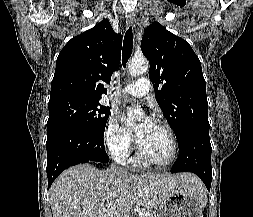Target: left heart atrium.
<instances>
[{"instance_id":"39dd6f15","label":"left heart atrium","mask_w":253,"mask_h":217,"mask_svg":"<svg viewBox=\"0 0 253 217\" xmlns=\"http://www.w3.org/2000/svg\"><path fill=\"white\" fill-rule=\"evenodd\" d=\"M155 125L154 121L152 118L148 117L144 123L139 127L137 131V135L140 136L145 130L153 127Z\"/></svg>"}]
</instances>
